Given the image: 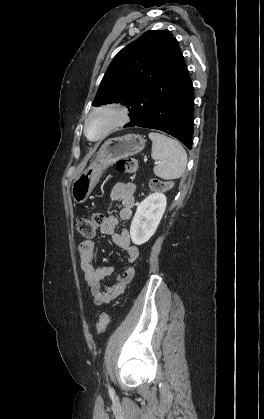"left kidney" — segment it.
<instances>
[{"label": "left kidney", "instance_id": "5707ae66", "mask_svg": "<svg viewBox=\"0 0 264 419\" xmlns=\"http://www.w3.org/2000/svg\"><path fill=\"white\" fill-rule=\"evenodd\" d=\"M166 205V197L160 192L150 194L138 205L130 227V236L134 244H144L151 238L161 221Z\"/></svg>", "mask_w": 264, "mask_h": 419}]
</instances>
